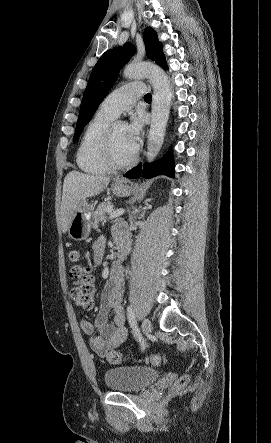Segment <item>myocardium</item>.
<instances>
[{"mask_svg":"<svg viewBox=\"0 0 271 443\" xmlns=\"http://www.w3.org/2000/svg\"><path fill=\"white\" fill-rule=\"evenodd\" d=\"M118 123H121V122H118V121L112 122L109 125V127L105 133V137H104V141H103V154H104V158H105L107 164L110 166V168L122 170V169H126V168L132 166L137 160V155L134 154L130 159H128L126 161H120L116 157L115 151H114L113 139H114V130H115V127Z\"/></svg>","mask_w":271,"mask_h":443,"instance_id":"obj_1","label":"myocardium"}]
</instances>
